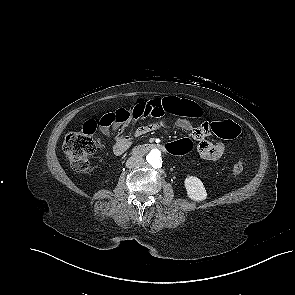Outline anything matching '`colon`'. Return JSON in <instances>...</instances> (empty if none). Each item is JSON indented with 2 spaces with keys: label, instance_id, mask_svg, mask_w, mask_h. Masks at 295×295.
<instances>
[{
  "label": "colon",
  "instance_id": "obj_1",
  "mask_svg": "<svg viewBox=\"0 0 295 295\" xmlns=\"http://www.w3.org/2000/svg\"><path fill=\"white\" fill-rule=\"evenodd\" d=\"M175 113L182 117L200 118L203 111L196 103L179 99L173 104ZM100 125V119H91L84 123L79 131L70 132L63 143V150L67 160L71 166L78 172L86 173L90 170L89 156L96 149L94 133ZM211 131L218 137L223 139H235L241 133V128L233 121L226 120L222 122H214L210 124ZM161 148L168 154H186L191 151L192 143L187 139H179L177 141H165ZM243 171V164L238 162L231 168L234 176L239 175Z\"/></svg>",
  "mask_w": 295,
  "mask_h": 295
}]
</instances>
